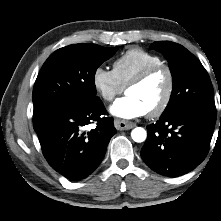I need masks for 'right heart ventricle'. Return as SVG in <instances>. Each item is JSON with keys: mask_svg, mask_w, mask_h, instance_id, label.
Returning <instances> with one entry per match:
<instances>
[{"mask_svg": "<svg viewBox=\"0 0 221 221\" xmlns=\"http://www.w3.org/2000/svg\"><path fill=\"white\" fill-rule=\"evenodd\" d=\"M162 59L141 48H130L113 62V72L119 82L126 87L129 81L145 68L162 64Z\"/></svg>", "mask_w": 221, "mask_h": 221, "instance_id": "1", "label": "right heart ventricle"}]
</instances>
